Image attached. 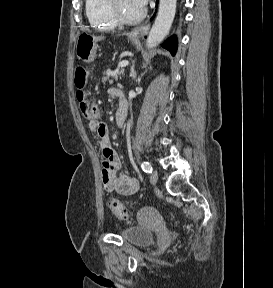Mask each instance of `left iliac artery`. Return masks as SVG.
Instances as JSON below:
<instances>
[{"label": "left iliac artery", "mask_w": 273, "mask_h": 288, "mask_svg": "<svg viewBox=\"0 0 273 288\" xmlns=\"http://www.w3.org/2000/svg\"><path fill=\"white\" fill-rule=\"evenodd\" d=\"M141 168H142V170H143L144 172H146V173H151L152 170H153V168H152V166L150 165V163H149V162H146V161H144V162L141 163Z\"/></svg>", "instance_id": "1"}]
</instances>
